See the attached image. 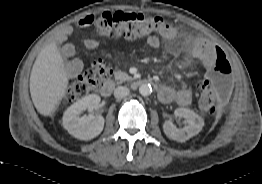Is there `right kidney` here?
I'll use <instances>...</instances> for the list:
<instances>
[{
	"label": "right kidney",
	"mask_w": 262,
	"mask_h": 184,
	"mask_svg": "<svg viewBox=\"0 0 262 184\" xmlns=\"http://www.w3.org/2000/svg\"><path fill=\"white\" fill-rule=\"evenodd\" d=\"M100 97L92 94L73 103L64 112L62 124L63 127L73 137L79 140H91L97 137L103 130L104 118L102 116H82L80 114L86 109H96L100 103Z\"/></svg>",
	"instance_id": "right-kidney-1"
}]
</instances>
